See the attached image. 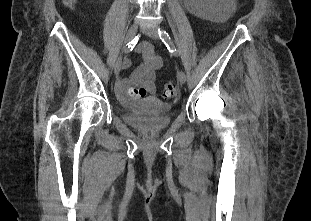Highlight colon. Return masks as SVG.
<instances>
[{
    "label": "colon",
    "instance_id": "colon-1",
    "mask_svg": "<svg viewBox=\"0 0 311 221\" xmlns=\"http://www.w3.org/2000/svg\"><path fill=\"white\" fill-rule=\"evenodd\" d=\"M78 0H62L64 5L68 8H74L77 4ZM146 94L145 88H132V91L130 93L131 99H142L143 95ZM178 94V87L176 82L174 81H168L164 84L162 89V95L164 99L171 100L174 97H176Z\"/></svg>",
    "mask_w": 311,
    "mask_h": 221
}]
</instances>
